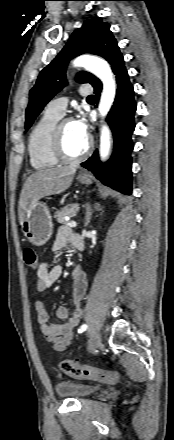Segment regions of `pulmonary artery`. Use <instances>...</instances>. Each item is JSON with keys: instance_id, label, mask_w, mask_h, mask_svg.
<instances>
[{"instance_id": "obj_1", "label": "pulmonary artery", "mask_w": 174, "mask_h": 440, "mask_svg": "<svg viewBox=\"0 0 174 440\" xmlns=\"http://www.w3.org/2000/svg\"><path fill=\"white\" fill-rule=\"evenodd\" d=\"M79 93L81 96H89L92 93V88L87 85H82L79 89ZM67 99L66 98H58L50 101L46 107V111L63 116L67 107Z\"/></svg>"}]
</instances>
